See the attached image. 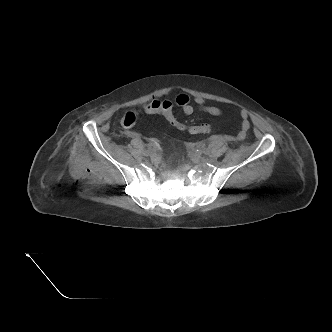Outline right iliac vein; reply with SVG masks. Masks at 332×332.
<instances>
[{
	"label": "right iliac vein",
	"instance_id": "obj_1",
	"mask_svg": "<svg viewBox=\"0 0 332 332\" xmlns=\"http://www.w3.org/2000/svg\"><path fill=\"white\" fill-rule=\"evenodd\" d=\"M145 155H148V156H154L155 155V150H148L144 153Z\"/></svg>",
	"mask_w": 332,
	"mask_h": 332
}]
</instances>
